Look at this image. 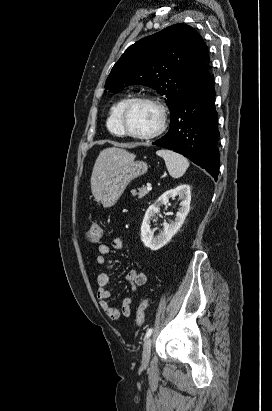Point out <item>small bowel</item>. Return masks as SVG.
Returning a JSON list of instances; mask_svg holds the SVG:
<instances>
[{"instance_id": "c3829d8e", "label": "small bowel", "mask_w": 272, "mask_h": 411, "mask_svg": "<svg viewBox=\"0 0 272 411\" xmlns=\"http://www.w3.org/2000/svg\"><path fill=\"white\" fill-rule=\"evenodd\" d=\"M123 248V241L116 238L112 241L111 245L103 243L98 247V255L96 257L97 263L102 265L105 270L98 275L97 283V297L99 299V304L101 309L111 320H117L120 315L125 317L131 314V304L133 302V297H127L123 300L121 309H117L109 304V299L111 297V292L108 288L111 278V270L114 267V261L110 258L112 250H121ZM127 281L130 283L132 291L135 292L138 287L143 286L148 281L147 274L139 269L133 268L126 275Z\"/></svg>"}]
</instances>
